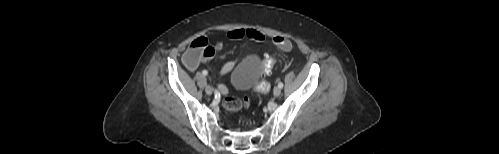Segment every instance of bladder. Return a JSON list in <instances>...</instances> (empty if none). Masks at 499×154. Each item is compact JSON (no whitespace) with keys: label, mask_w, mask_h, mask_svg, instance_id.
Segmentation results:
<instances>
[{"label":"bladder","mask_w":499,"mask_h":154,"mask_svg":"<svg viewBox=\"0 0 499 154\" xmlns=\"http://www.w3.org/2000/svg\"><path fill=\"white\" fill-rule=\"evenodd\" d=\"M264 73V67L256 55L245 57L234 69L231 86L236 91H245L255 86Z\"/></svg>","instance_id":"bladder-1"}]
</instances>
